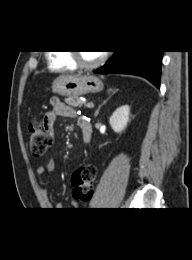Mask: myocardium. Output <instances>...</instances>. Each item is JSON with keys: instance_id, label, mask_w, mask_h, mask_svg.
<instances>
[{"instance_id": "myocardium-1", "label": "myocardium", "mask_w": 192, "mask_h": 260, "mask_svg": "<svg viewBox=\"0 0 192 260\" xmlns=\"http://www.w3.org/2000/svg\"><path fill=\"white\" fill-rule=\"evenodd\" d=\"M69 55L77 67L85 70H91L99 67L106 59V54L102 53L101 56L95 62L86 63L81 58L80 52L76 50H72L71 52H69Z\"/></svg>"}]
</instances>
